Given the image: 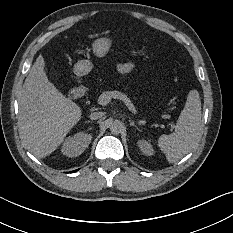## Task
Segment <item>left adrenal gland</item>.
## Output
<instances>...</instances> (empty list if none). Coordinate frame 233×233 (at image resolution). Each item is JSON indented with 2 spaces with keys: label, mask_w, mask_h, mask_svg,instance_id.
<instances>
[{
  "label": "left adrenal gland",
  "mask_w": 233,
  "mask_h": 233,
  "mask_svg": "<svg viewBox=\"0 0 233 233\" xmlns=\"http://www.w3.org/2000/svg\"><path fill=\"white\" fill-rule=\"evenodd\" d=\"M129 122L130 124L134 125L137 129L141 130V128L138 127L137 124L132 119H129Z\"/></svg>",
  "instance_id": "left-adrenal-gland-1"
}]
</instances>
